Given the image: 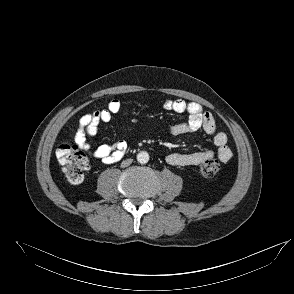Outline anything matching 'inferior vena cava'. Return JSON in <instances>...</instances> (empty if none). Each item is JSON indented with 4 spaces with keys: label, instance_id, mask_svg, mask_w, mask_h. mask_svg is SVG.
Listing matches in <instances>:
<instances>
[{
    "label": "inferior vena cava",
    "instance_id": "inferior-vena-cava-1",
    "mask_svg": "<svg viewBox=\"0 0 294 294\" xmlns=\"http://www.w3.org/2000/svg\"><path fill=\"white\" fill-rule=\"evenodd\" d=\"M132 159H126V160H124L122 163H121V167H127V166H129L131 163H132Z\"/></svg>",
    "mask_w": 294,
    "mask_h": 294
}]
</instances>
